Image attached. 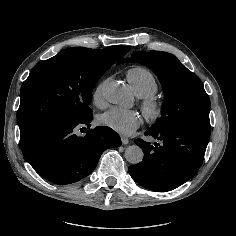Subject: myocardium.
I'll use <instances>...</instances> for the list:
<instances>
[{
	"label": "myocardium",
	"instance_id": "obj_1",
	"mask_svg": "<svg viewBox=\"0 0 236 236\" xmlns=\"http://www.w3.org/2000/svg\"><path fill=\"white\" fill-rule=\"evenodd\" d=\"M142 109L151 122L157 121L163 115V104L155 97L146 98L142 103Z\"/></svg>",
	"mask_w": 236,
	"mask_h": 236
}]
</instances>
